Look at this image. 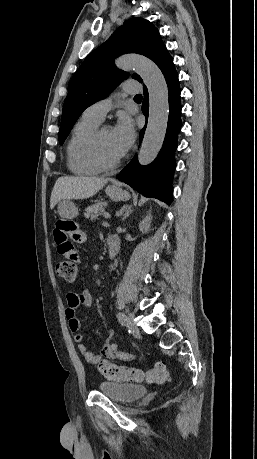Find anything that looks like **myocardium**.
Instances as JSON below:
<instances>
[{
  "label": "myocardium",
  "instance_id": "myocardium-1",
  "mask_svg": "<svg viewBox=\"0 0 257 459\" xmlns=\"http://www.w3.org/2000/svg\"><path fill=\"white\" fill-rule=\"evenodd\" d=\"M110 127L108 125H101L98 126L94 132L92 133L88 145H87V152L89 155V158L91 161L98 166L101 170H112L119 166L122 160V156L119 158L108 161L106 160L100 150V137L102 133L106 130L109 129Z\"/></svg>",
  "mask_w": 257,
  "mask_h": 459
}]
</instances>
